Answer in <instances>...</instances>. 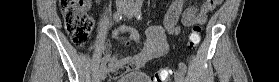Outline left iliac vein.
I'll list each match as a JSON object with an SVG mask.
<instances>
[{
    "label": "left iliac vein",
    "mask_w": 279,
    "mask_h": 82,
    "mask_svg": "<svg viewBox=\"0 0 279 82\" xmlns=\"http://www.w3.org/2000/svg\"><path fill=\"white\" fill-rule=\"evenodd\" d=\"M125 16L127 18H132L133 16V8L131 5H128L125 9V12H124ZM175 81L176 82H185V79H184V73L182 70H177L175 72Z\"/></svg>",
    "instance_id": "obj_1"
}]
</instances>
